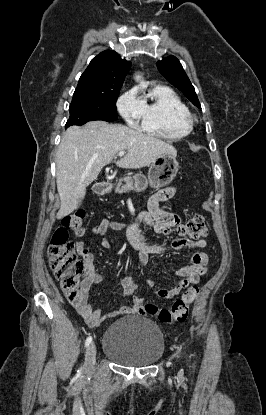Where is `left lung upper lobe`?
Masks as SVG:
<instances>
[{
    "label": "left lung upper lobe",
    "instance_id": "left-lung-upper-lobe-1",
    "mask_svg": "<svg viewBox=\"0 0 266 415\" xmlns=\"http://www.w3.org/2000/svg\"><path fill=\"white\" fill-rule=\"evenodd\" d=\"M158 70L175 87L182 91L186 97L201 109L195 89L191 84L179 60L174 56H168L157 62Z\"/></svg>",
    "mask_w": 266,
    "mask_h": 415
}]
</instances>
